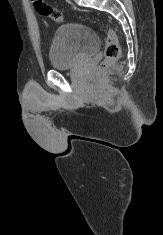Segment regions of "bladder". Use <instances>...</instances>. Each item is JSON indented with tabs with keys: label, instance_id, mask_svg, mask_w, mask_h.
Segmentation results:
<instances>
[{
	"label": "bladder",
	"instance_id": "1",
	"mask_svg": "<svg viewBox=\"0 0 163 235\" xmlns=\"http://www.w3.org/2000/svg\"><path fill=\"white\" fill-rule=\"evenodd\" d=\"M95 31L81 23L60 26L52 38L49 58L53 69H68L99 48Z\"/></svg>",
	"mask_w": 163,
	"mask_h": 235
}]
</instances>
